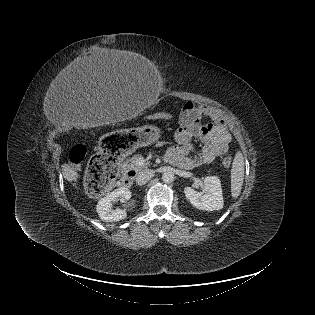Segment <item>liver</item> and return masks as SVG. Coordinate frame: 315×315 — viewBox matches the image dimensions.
I'll use <instances>...</instances> for the list:
<instances>
[{
	"label": "liver",
	"mask_w": 315,
	"mask_h": 315,
	"mask_svg": "<svg viewBox=\"0 0 315 315\" xmlns=\"http://www.w3.org/2000/svg\"><path fill=\"white\" fill-rule=\"evenodd\" d=\"M132 58L133 53L131 52L103 49L97 54L81 59L70 71H68L67 75L70 77L81 75L83 78H86L101 74H117L123 70H128ZM118 117L123 118L122 115H119ZM62 174L67 181L78 182L79 174L71 165L63 163Z\"/></svg>",
	"instance_id": "6515ba94"
}]
</instances>
